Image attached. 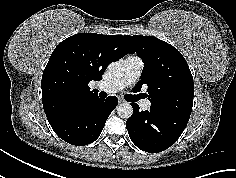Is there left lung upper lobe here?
Listing matches in <instances>:
<instances>
[{
	"mask_svg": "<svg viewBox=\"0 0 236 178\" xmlns=\"http://www.w3.org/2000/svg\"><path fill=\"white\" fill-rule=\"evenodd\" d=\"M133 52L144 62L135 90L147 84L151 105L190 116L194 83L183 55L172 45L153 36H126Z\"/></svg>",
	"mask_w": 236,
	"mask_h": 178,
	"instance_id": "obj_1",
	"label": "left lung upper lobe"
}]
</instances>
